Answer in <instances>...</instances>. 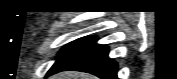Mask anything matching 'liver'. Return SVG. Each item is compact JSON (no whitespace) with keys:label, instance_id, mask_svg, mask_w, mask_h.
<instances>
[{"label":"liver","instance_id":"liver-1","mask_svg":"<svg viewBox=\"0 0 177 79\" xmlns=\"http://www.w3.org/2000/svg\"><path fill=\"white\" fill-rule=\"evenodd\" d=\"M53 79H95L94 76L82 72L65 71L55 76Z\"/></svg>","mask_w":177,"mask_h":79}]
</instances>
